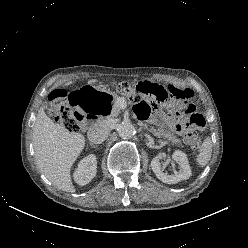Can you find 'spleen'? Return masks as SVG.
<instances>
[{
	"label": "spleen",
	"instance_id": "spleen-1",
	"mask_svg": "<svg viewBox=\"0 0 248 248\" xmlns=\"http://www.w3.org/2000/svg\"><path fill=\"white\" fill-rule=\"evenodd\" d=\"M212 155V141L206 137L199 148V153L196 156V164L199 167H205L211 159Z\"/></svg>",
	"mask_w": 248,
	"mask_h": 248
}]
</instances>
